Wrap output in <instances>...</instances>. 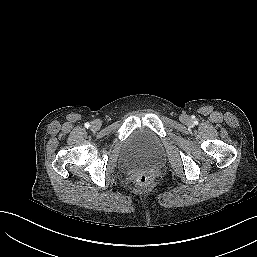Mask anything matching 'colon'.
<instances>
[{"label":"colon","instance_id":"colon-1","mask_svg":"<svg viewBox=\"0 0 257 257\" xmlns=\"http://www.w3.org/2000/svg\"><path fill=\"white\" fill-rule=\"evenodd\" d=\"M153 178L147 174H141L136 178V186L139 189H148L153 185Z\"/></svg>","mask_w":257,"mask_h":257}]
</instances>
